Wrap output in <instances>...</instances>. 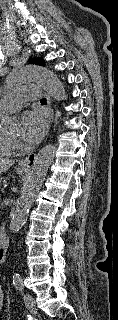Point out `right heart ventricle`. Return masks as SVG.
<instances>
[{"instance_id": "1", "label": "right heart ventricle", "mask_w": 118, "mask_h": 320, "mask_svg": "<svg viewBox=\"0 0 118 320\" xmlns=\"http://www.w3.org/2000/svg\"><path fill=\"white\" fill-rule=\"evenodd\" d=\"M0 113V117H1ZM13 152V145L8 137L0 133V156H9Z\"/></svg>"}]
</instances>
